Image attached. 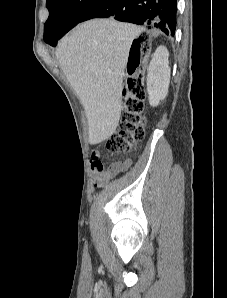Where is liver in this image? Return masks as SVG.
I'll return each instance as SVG.
<instances>
[{
	"label": "liver",
	"mask_w": 227,
	"mask_h": 298,
	"mask_svg": "<svg viewBox=\"0 0 227 298\" xmlns=\"http://www.w3.org/2000/svg\"><path fill=\"white\" fill-rule=\"evenodd\" d=\"M142 32L114 19H92L57 46L56 58L84 107L90 144L109 139L118 126L129 50Z\"/></svg>",
	"instance_id": "obj_1"
}]
</instances>
